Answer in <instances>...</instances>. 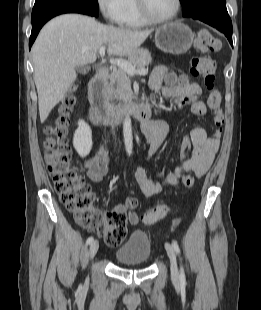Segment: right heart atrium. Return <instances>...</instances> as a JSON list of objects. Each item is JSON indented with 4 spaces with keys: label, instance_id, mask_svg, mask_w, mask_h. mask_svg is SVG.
<instances>
[{
    "label": "right heart atrium",
    "instance_id": "obj_1",
    "mask_svg": "<svg viewBox=\"0 0 261 310\" xmlns=\"http://www.w3.org/2000/svg\"><path fill=\"white\" fill-rule=\"evenodd\" d=\"M124 0H96L102 16L109 23H118L123 12Z\"/></svg>",
    "mask_w": 261,
    "mask_h": 310
}]
</instances>
